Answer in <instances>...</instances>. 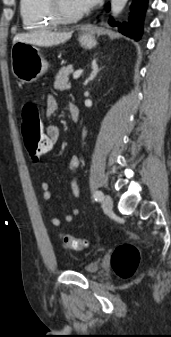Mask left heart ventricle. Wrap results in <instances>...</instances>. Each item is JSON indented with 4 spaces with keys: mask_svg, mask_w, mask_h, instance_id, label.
<instances>
[{
    "mask_svg": "<svg viewBox=\"0 0 171 337\" xmlns=\"http://www.w3.org/2000/svg\"><path fill=\"white\" fill-rule=\"evenodd\" d=\"M63 8L70 14L82 12L74 0H61Z\"/></svg>",
    "mask_w": 171,
    "mask_h": 337,
    "instance_id": "left-heart-ventricle-1",
    "label": "left heart ventricle"
}]
</instances>
